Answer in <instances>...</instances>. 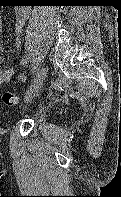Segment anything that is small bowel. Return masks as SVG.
Listing matches in <instances>:
<instances>
[{
  "label": "small bowel",
  "mask_w": 121,
  "mask_h": 197,
  "mask_svg": "<svg viewBox=\"0 0 121 197\" xmlns=\"http://www.w3.org/2000/svg\"><path fill=\"white\" fill-rule=\"evenodd\" d=\"M15 17H16L15 30H16L17 35H19L28 17V9L23 8V7L16 8ZM1 34H2V20L0 16V37H1ZM20 44H21L20 38L17 36L14 42L15 48L19 49ZM2 61H3V56H2V50L0 47V85L7 84L14 75V70L12 67H2ZM18 79L21 81H24L26 79V74L24 73L20 74L18 76Z\"/></svg>",
  "instance_id": "obj_1"
}]
</instances>
